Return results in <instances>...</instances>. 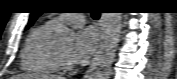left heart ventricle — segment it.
<instances>
[{
	"instance_id": "b2bd125f",
	"label": "left heart ventricle",
	"mask_w": 177,
	"mask_h": 79,
	"mask_svg": "<svg viewBox=\"0 0 177 79\" xmlns=\"http://www.w3.org/2000/svg\"><path fill=\"white\" fill-rule=\"evenodd\" d=\"M70 29H72V30H76V29H78L79 27H80V24H73V25H69L68 26ZM71 46L70 45H68V46H63V47H61L59 50L66 56V57H70L69 55H70V51H71Z\"/></svg>"
}]
</instances>
